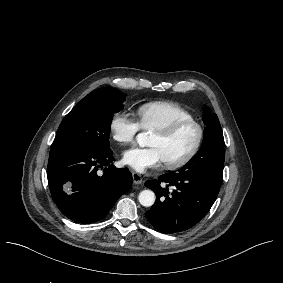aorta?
<instances>
[{
  "instance_id": "762f6f07",
  "label": "aorta",
  "mask_w": 283,
  "mask_h": 283,
  "mask_svg": "<svg viewBox=\"0 0 283 283\" xmlns=\"http://www.w3.org/2000/svg\"><path fill=\"white\" fill-rule=\"evenodd\" d=\"M136 140L141 147L148 146L150 144V132L139 133ZM155 199V193L149 189L141 191L138 195V200L144 207H151L155 203Z\"/></svg>"
}]
</instances>
